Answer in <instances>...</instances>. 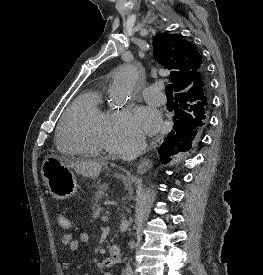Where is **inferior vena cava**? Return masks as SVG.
Returning a JSON list of instances; mask_svg holds the SVG:
<instances>
[{
	"label": "inferior vena cava",
	"mask_w": 263,
	"mask_h": 275,
	"mask_svg": "<svg viewBox=\"0 0 263 275\" xmlns=\"http://www.w3.org/2000/svg\"><path fill=\"white\" fill-rule=\"evenodd\" d=\"M147 147L146 138L144 135H139L137 138L131 143V145L124 150H122V159L124 161H131L136 159L141 153L145 151ZM130 247L132 246L129 243ZM126 275H134V272L129 263L126 264Z\"/></svg>",
	"instance_id": "1"
}]
</instances>
